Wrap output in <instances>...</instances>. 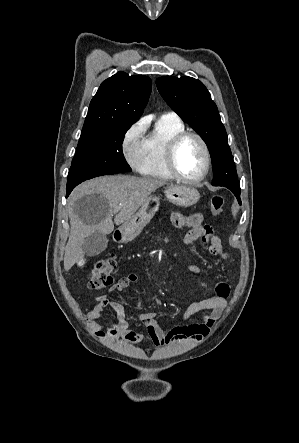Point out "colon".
<instances>
[{"instance_id": "colon-1", "label": "colon", "mask_w": 299, "mask_h": 443, "mask_svg": "<svg viewBox=\"0 0 299 443\" xmlns=\"http://www.w3.org/2000/svg\"><path fill=\"white\" fill-rule=\"evenodd\" d=\"M224 199L221 196L211 198V212L218 216L223 212ZM117 264L114 256H107L96 262L88 274V287L90 289H101L109 286L112 279V272Z\"/></svg>"}]
</instances>
